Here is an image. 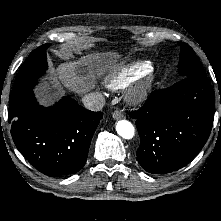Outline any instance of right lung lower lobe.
<instances>
[{
	"mask_svg": "<svg viewBox=\"0 0 221 221\" xmlns=\"http://www.w3.org/2000/svg\"><path fill=\"white\" fill-rule=\"evenodd\" d=\"M37 82L14 88L10 94L8 119L13 141L41 173L74 174L85 165L103 114L86 110L70 97L51 107L39 106L33 93Z\"/></svg>",
	"mask_w": 221,
	"mask_h": 221,
	"instance_id": "right-lung-lower-lobe-1",
	"label": "right lung lower lobe"
}]
</instances>
